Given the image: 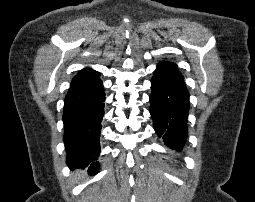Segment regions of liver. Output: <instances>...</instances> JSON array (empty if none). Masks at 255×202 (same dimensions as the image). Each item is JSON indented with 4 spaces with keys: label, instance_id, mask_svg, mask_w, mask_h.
Masks as SVG:
<instances>
[{
    "label": "liver",
    "instance_id": "liver-1",
    "mask_svg": "<svg viewBox=\"0 0 255 202\" xmlns=\"http://www.w3.org/2000/svg\"><path fill=\"white\" fill-rule=\"evenodd\" d=\"M77 177L81 178V173L80 172H77Z\"/></svg>",
    "mask_w": 255,
    "mask_h": 202
}]
</instances>
